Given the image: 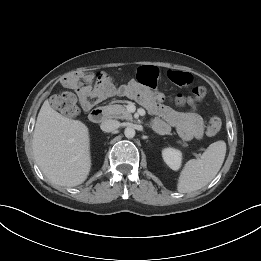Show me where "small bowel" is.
<instances>
[{
  "label": "small bowel",
  "instance_id": "obj_1",
  "mask_svg": "<svg viewBox=\"0 0 261 261\" xmlns=\"http://www.w3.org/2000/svg\"><path fill=\"white\" fill-rule=\"evenodd\" d=\"M162 74L158 67L142 66L137 71L136 79L116 87L110 79L98 81L93 86V74L82 72L65 78L63 85L77 93L80 106L85 111L96 103L124 96L135 99L155 116L152 125L157 133L164 134L174 128L185 141L203 138L204 122L195 106L188 111L174 110L162 104L161 93L152 90ZM166 75L170 81L180 86L189 85L193 80L190 73L182 71L169 70Z\"/></svg>",
  "mask_w": 261,
  "mask_h": 261
}]
</instances>
